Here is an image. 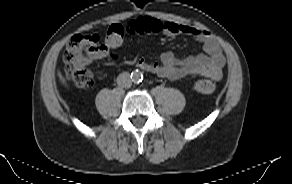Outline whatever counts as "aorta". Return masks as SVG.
Segmentation results:
<instances>
[{
  "label": "aorta",
  "instance_id": "1",
  "mask_svg": "<svg viewBox=\"0 0 292 184\" xmlns=\"http://www.w3.org/2000/svg\"><path fill=\"white\" fill-rule=\"evenodd\" d=\"M142 75L139 72H134L131 75V78L134 82H139L141 80Z\"/></svg>",
  "mask_w": 292,
  "mask_h": 184
}]
</instances>
